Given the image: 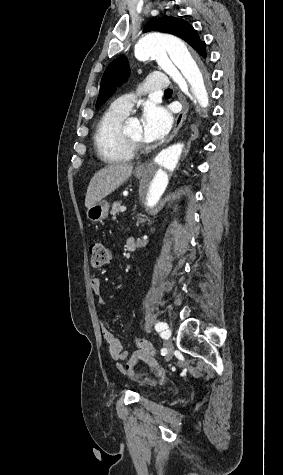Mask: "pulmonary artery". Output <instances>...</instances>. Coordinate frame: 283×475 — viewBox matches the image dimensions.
<instances>
[{"label":"pulmonary artery","instance_id":"obj_1","mask_svg":"<svg viewBox=\"0 0 283 475\" xmlns=\"http://www.w3.org/2000/svg\"><path fill=\"white\" fill-rule=\"evenodd\" d=\"M139 87L142 88L140 91L144 96H153L154 89H170L171 82L170 80H142L139 82ZM131 94H135L137 91L131 89L129 91ZM136 96L134 95H123L116 99L112 104L120 109L130 111L135 101Z\"/></svg>","mask_w":283,"mask_h":475}]
</instances>
